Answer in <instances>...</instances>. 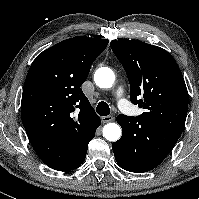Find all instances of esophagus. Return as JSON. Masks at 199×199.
<instances>
[{
  "instance_id": "34e87169",
  "label": "esophagus",
  "mask_w": 199,
  "mask_h": 199,
  "mask_svg": "<svg viewBox=\"0 0 199 199\" xmlns=\"http://www.w3.org/2000/svg\"><path fill=\"white\" fill-rule=\"evenodd\" d=\"M114 119H115V118H114L113 116H111V115L102 117V121H103L104 123L112 122V121H114Z\"/></svg>"
}]
</instances>
